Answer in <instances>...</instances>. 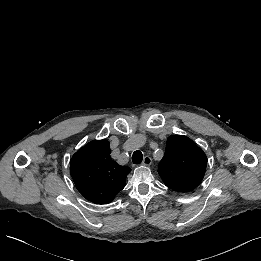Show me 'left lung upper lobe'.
<instances>
[{
    "instance_id": "1",
    "label": "left lung upper lobe",
    "mask_w": 261,
    "mask_h": 261,
    "mask_svg": "<svg viewBox=\"0 0 261 261\" xmlns=\"http://www.w3.org/2000/svg\"><path fill=\"white\" fill-rule=\"evenodd\" d=\"M207 165L205 153L187 136L167 139L158 173L166 186L177 192H189L202 181Z\"/></svg>"
}]
</instances>
